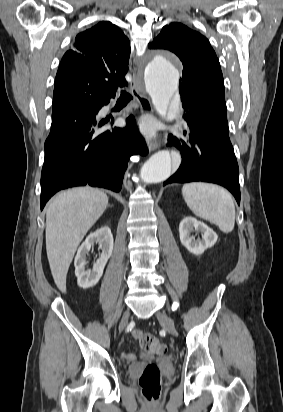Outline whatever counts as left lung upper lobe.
<instances>
[{"label":"left lung upper lobe","mask_w":283,"mask_h":412,"mask_svg":"<svg viewBox=\"0 0 283 412\" xmlns=\"http://www.w3.org/2000/svg\"><path fill=\"white\" fill-rule=\"evenodd\" d=\"M149 48L175 53L183 63L179 91L183 107L212 125H226L224 81L209 41L181 23L164 26Z\"/></svg>","instance_id":"5c2ea615"}]
</instances>
